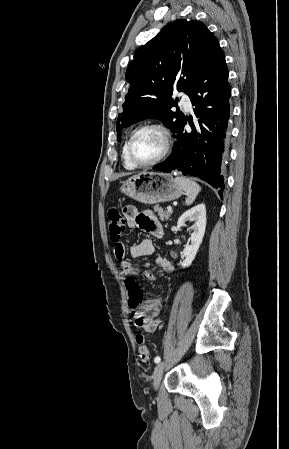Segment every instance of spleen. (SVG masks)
<instances>
[{
  "label": "spleen",
  "instance_id": "obj_1",
  "mask_svg": "<svg viewBox=\"0 0 289 449\" xmlns=\"http://www.w3.org/2000/svg\"><path fill=\"white\" fill-rule=\"evenodd\" d=\"M175 181L186 192L187 198H186L185 204L187 206L191 205L195 201L199 192L201 191V187L195 181H193L189 178L182 177V176H177L175 178Z\"/></svg>",
  "mask_w": 289,
  "mask_h": 449
}]
</instances>
